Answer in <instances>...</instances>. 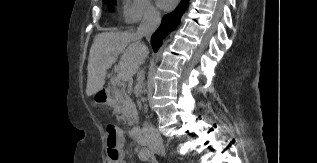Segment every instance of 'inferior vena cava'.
I'll list each match as a JSON object with an SVG mask.
<instances>
[{
    "label": "inferior vena cava",
    "instance_id": "obj_1",
    "mask_svg": "<svg viewBox=\"0 0 317 163\" xmlns=\"http://www.w3.org/2000/svg\"><path fill=\"white\" fill-rule=\"evenodd\" d=\"M161 22V15L155 10H148L144 18L137 29V35L139 37L145 36L147 40H150L152 34L157 30ZM144 79L143 72L138 76V84L141 85V82ZM142 133L146 144L151 149L152 152L156 154L163 155L165 153L163 140L156 128L151 124L145 122L142 128Z\"/></svg>",
    "mask_w": 317,
    "mask_h": 163
}]
</instances>
